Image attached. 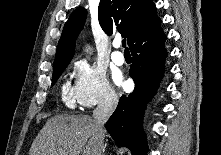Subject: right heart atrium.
I'll use <instances>...</instances> for the list:
<instances>
[{"mask_svg":"<svg viewBox=\"0 0 221 155\" xmlns=\"http://www.w3.org/2000/svg\"><path fill=\"white\" fill-rule=\"evenodd\" d=\"M74 73L75 96L82 108L110 107L117 103V93L101 68L85 60H79L74 64Z\"/></svg>","mask_w":221,"mask_h":155,"instance_id":"1","label":"right heart atrium"}]
</instances>
